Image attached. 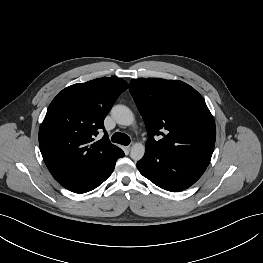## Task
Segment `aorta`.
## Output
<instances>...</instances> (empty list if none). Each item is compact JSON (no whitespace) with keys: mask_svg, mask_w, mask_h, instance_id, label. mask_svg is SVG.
<instances>
[{"mask_svg":"<svg viewBox=\"0 0 263 263\" xmlns=\"http://www.w3.org/2000/svg\"><path fill=\"white\" fill-rule=\"evenodd\" d=\"M113 119L120 125L130 126L134 123L132 111L124 105H116L111 110ZM145 154V147L142 143H135L131 147L130 157L134 161H139Z\"/></svg>","mask_w":263,"mask_h":263,"instance_id":"1","label":"aorta"}]
</instances>
